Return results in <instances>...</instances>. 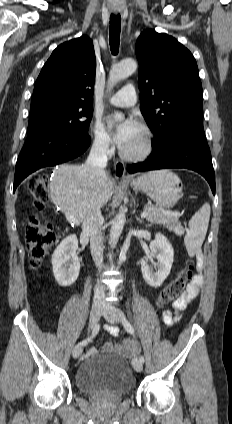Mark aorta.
<instances>
[{
  "label": "aorta",
  "instance_id": "1",
  "mask_svg": "<svg viewBox=\"0 0 232 424\" xmlns=\"http://www.w3.org/2000/svg\"><path fill=\"white\" fill-rule=\"evenodd\" d=\"M137 69V63L133 59H125L121 61L120 63L112 66L109 78H108V89L110 90L116 83L119 81L129 77L132 75ZM124 119V115L122 113H115L114 121L120 122ZM108 125H112L111 123H108ZM126 222V214H125V208L120 207L118 213L112 220L111 230H110V245L111 247H115L119 237L122 233L124 224Z\"/></svg>",
  "mask_w": 232,
  "mask_h": 424
}]
</instances>
